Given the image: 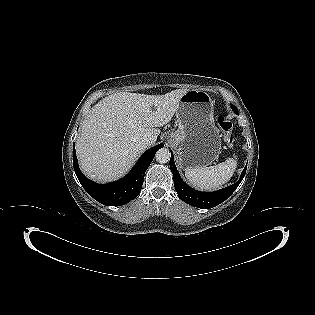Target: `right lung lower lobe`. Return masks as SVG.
<instances>
[{
    "mask_svg": "<svg viewBox=\"0 0 315 315\" xmlns=\"http://www.w3.org/2000/svg\"><path fill=\"white\" fill-rule=\"evenodd\" d=\"M163 146L164 144L161 143L144 152L128 175L108 184H97L89 180L80 171L75 148H73V166L78 180L91 197L107 206L124 205L139 195L143 185L144 174L151 164L156 151Z\"/></svg>",
    "mask_w": 315,
    "mask_h": 315,
    "instance_id": "1",
    "label": "right lung lower lobe"
}]
</instances>
